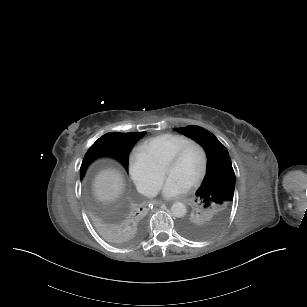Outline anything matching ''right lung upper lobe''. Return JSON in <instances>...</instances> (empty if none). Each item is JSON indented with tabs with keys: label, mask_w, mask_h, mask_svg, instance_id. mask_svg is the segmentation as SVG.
<instances>
[{
	"label": "right lung upper lobe",
	"mask_w": 307,
	"mask_h": 307,
	"mask_svg": "<svg viewBox=\"0 0 307 307\" xmlns=\"http://www.w3.org/2000/svg\"><path fill=\"white\" fill-rule=\"evenodd\" d=\"M145 132L117 133L111 132L104 136L125 140L140 139ZM95 217L103 229L117 230L138 228L146 219V209L140 202L128 200L107 206L94 208Z\"/></svg>",
	"instance_id": "cb5924a9"
}]
</instances>
